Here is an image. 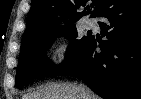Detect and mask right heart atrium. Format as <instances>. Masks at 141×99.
Masks as SVG:
<instances>
[{
    "instance_id": "1",
    "label": "right heart atrium",
    "mask_w": 141,
    "mask_h": 99,
    "mask_svg": "<svg viewBox=\"0 0 141 99\" xmlns=\"http://www.w3.org/2000/svg\"><path fill=\"white\" fill-rule=\"evenodd\" d=\"M55 62L60 68L69 65L72 57V46L66 40H58L53 47Z\"/></svg>"
}]
</instances>
